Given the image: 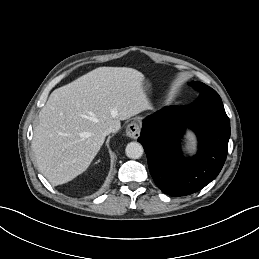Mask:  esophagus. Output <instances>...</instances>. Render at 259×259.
<instances>
[{
	"mask_svg": "<svg viewBox=\"0 0 259 259\" xmlns=\"http://www.w3.org/2000/svg\"><path fill=\"white\" fill-rule=\"evenodd\" d=\"M141 128L138 123L131 122L126 128V135L132 139H137L140 136Z\"/></svg>",
	"mask_w": 259,
	"mask_h": 259,
	"instance_id": "esophagus-1",
	"label": "esophagus"
}]
</instances>
